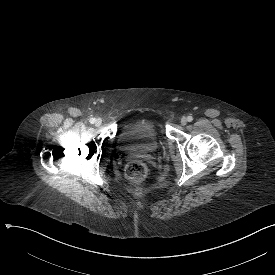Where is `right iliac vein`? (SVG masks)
<instances>
[{
  "label": "right iliac vein",
  "mask_w": 275,
  "mask_h": 275,
  "mask_svg": "<svg viewBox=\"0 0 275 275\" xmlns=\"http://www.w3.org/2000/svg\"><path fill=\"white\" fill-rule=\"evenodd\" d=\"M95 125H96V126H101V125H102V120H101V119H97V120L95 121Z\"/></svg>",
  "instance_id": "obj_1"
}]
</instances>
